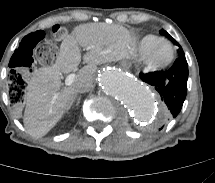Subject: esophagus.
Returning <instances> with one entry per match:
<instances>
[{
	"mask_svg": "<svg viewBox=\"0 0 215 183\" xmlns=\"http://www.w3.org/2000/svg\"><path fill=\"white\" fill-rule=\"evenodd\" d=\"M122 65L125 66V67L129 66V64L126 61L122 62Z\"/></svg>",
	"mask_w": 215,
	"mask_h": 183,
	"instance_id": "1",
	"label": "esophagus"
}]
</instances>
